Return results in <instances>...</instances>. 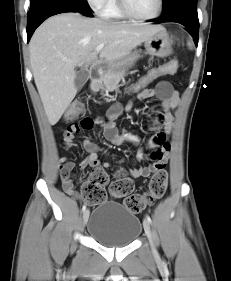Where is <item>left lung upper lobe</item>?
Segmentation results:
<instances>
[{
	"label": "left lung upper lobe",
	"instance_id": "1",
	"mask_svg": "<svg viewBox=\"0 0 231 281\" xmlns=\"http://www.w3.org/2000/svg\"><path fill=\"white\" fill-rule=\"evenodd\" d=\"M176 0H163V8L169 6Z\"/></svg>",
	"mask_w": 231,
	"mask_h": 281
}]
</instances>
